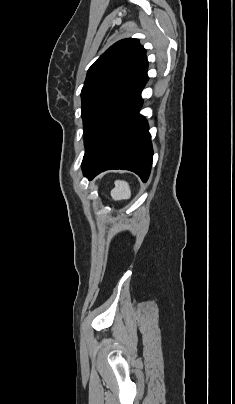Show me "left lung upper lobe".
I'll return each mask as SVG.
<instances>
[{"mask_svg": "<svg viewBox=\"0 0 235 404\" xmlns=\"http://www.w3.org/2000/svg\"><path fill=\"white\" fill-rule=\"evenodd\" d=\"M147 68L146 51L132 38L116 42L92 64L81 91L86 149L107 119L148 81Z\"/></svg>", "mask_w": 235, "mask_h": 404, "instance_id": "5c2ea615", "label": "left lung upper lobe"}]
</instances>
